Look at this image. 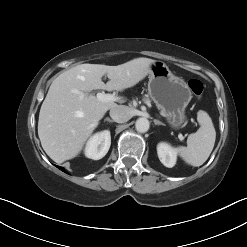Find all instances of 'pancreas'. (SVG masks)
Here are the masks:
<instances>
[{"label":"pancreas","mask_w":247,"mask_h":247,"mask_svg":"<svg viewBox=\"0 0 247 247\" xmlns=\"http://www.w3.org/2000/svg\"><path fill=\"white\" fill-rule=\"evenodd\" d=\"M145 102H149V99H144Z\"/></svg>","instance_id":"obj_1"}]
</instances>
